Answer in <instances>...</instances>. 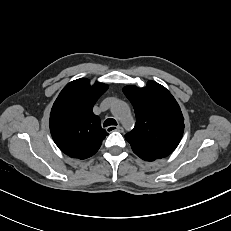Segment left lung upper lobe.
<instances>
[{
  "instance_id": "1",
  "label": "left lung upper lobe",
  "mask_w": 231,
  "mask_h": 231,
  "mask_svg": "<svg viewBox=\"0 0 231 231\" xmlns=\"http://www.w3.org/2000/svg\"><path fill=\"white\" fill-rule=\"evenodd\" d=\"M123 92L136 115L134 129L125 135L133 152L146 161L171 154L184 131V118L172 94L155 81L144 88L126 86Z\"/></svg>"
}]
</instances>
